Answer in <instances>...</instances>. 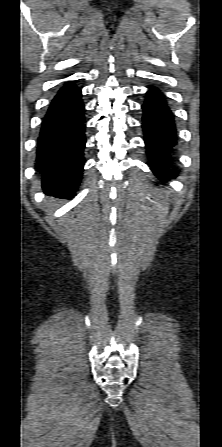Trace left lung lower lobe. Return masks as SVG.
<instances>
[{
  "label": "left lung lower lobe",
  "instance_id": "left-lung-lower-lobe-1",
  "mask_svg": "<svg viewBox=\"0 0 222 447\" xmlns=\"http://www.w3.org/2000/svg\"><path fill=\"white\" fill-rule=\"evenodd\" d=\"M142 110V128L151 170L159 178L176 177V172L165 171L171 163L172 147L177 142L176 128L173 115L158 88H149Z\"/></svg>",
  "mask_w": 222,
  "mask_h": 447
}]
</instances>
